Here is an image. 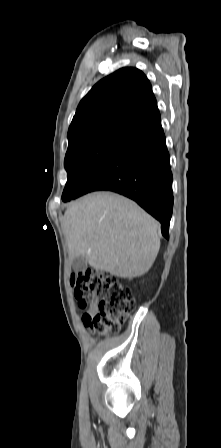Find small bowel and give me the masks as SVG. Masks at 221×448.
<instances>
[{
	"instance_id": "1",
	"label": "small bowel",
	"mask_w": 221,
	"mask_h": 448,
	"mask_svg": "<svg viewBox=\"0 0 221 448\" xmlns=\"http://www.w3.org/2000/svg\"><path fill=\"white\" fill-rule=\"evenodd\" d=\"M95 310H96L95 306H92V307L89 309V311H95Z\"/></svg>"
}]
</instances>
